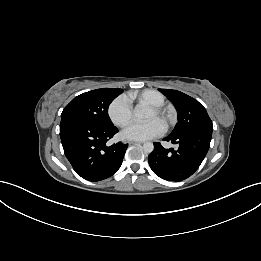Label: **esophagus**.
<instances>
[{
  "label": "esophagus",
  "mask_w": 261,
  "mask_h": 261,
  "mask_svg": "<svg viewBox=\"0 0 261 261\" xmlns=\"http://www.w3.org/2000/svg\"><path fill=\"white\" fill-rule=\"evenodd\" d=\"M128 143L131 144V145H138V144H142L143 142L131 140Z\"/></svg>",
  "instance_id": "obj_1"
}]
</instances>
